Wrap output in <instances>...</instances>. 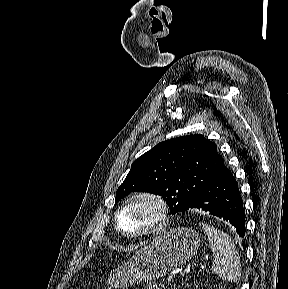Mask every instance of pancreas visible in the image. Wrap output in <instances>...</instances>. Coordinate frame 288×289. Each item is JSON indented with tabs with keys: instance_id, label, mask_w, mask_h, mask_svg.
Instances as JSON below:
<instances>
[{
	"instance_id": "pancreas-1",
	"label": "pancreas",
	"mask_w": 288,
	"mask_h": 289,
	"mask_svg": "<svg viewBox=\"0 0 288 289\" xmlns=\"http://www.w3.org/2000/svg\"><path fill=\"white\" fill-rule=\"evenodd\" d=\"M164 285L162 283H151L147 286V289H162Z\"/></svg>"
}]
</instances>
